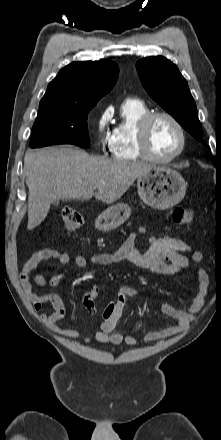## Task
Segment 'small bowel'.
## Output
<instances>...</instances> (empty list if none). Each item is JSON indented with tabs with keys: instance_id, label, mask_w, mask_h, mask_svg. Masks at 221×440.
<instances>
[{
	"instance_id": "1",
	"label": "small bowel",
	"mask_w": 221,
	"mask_h": 440,
	"mask_svg": "<svg viewBox=\"0 0 221 440\" xmlns=\"http://www.w3.org/2000/svg\"><path fill=\"white\" fill-rule=\"evenodd\" d=\"M145 233L144 228L139 229ZM191 253L190 257L187 256ZM46 260H55L62 265L72 262V257L65 253L50 248H40L35 250L26 260L20 271V280L23 291L32 303L35 311L39 312L42 320L53 331L59 332L69 338H82L85 342L89 337H83L80 330L76 328L62 327L59 322L65 318L66 308L63 299L57 293L50 292L37 294L33 291V284L40 287H54L64 278L63 274L58 273L52 277H45L41 273H34L39 263ZM122 261H129L136 267L151 270L157 274L175 276L181 274L189 268L191 262L199 263L202 261V254L192 252L190 247L182 240L169 236H152L149 238V248L141 252L137 246V234L131 232L123 245L114 253L94 254L90 257L82 255L74 258V263L79 269H85L89 264L108 266ZM52 268L46 267L42 272H49ZM198 279V288L187 311L178 310L167 303H161L160 311L176 321V325L158 332H147L143 339L145 342H153L176 335L185 330L193 316L201 310L207 293L209 279L205 270L199 268L195 271ZM88 292L83 293L82 302ZM142 294L139 290L130 286H121L117 291L116 310L112 318H103L99 329L93 338L100 343H112L119 345L125 343L129 346L137 344V339L133 334L122 335L114 332V329L122 314L129 308V298ZM50 304L53 312L47 313L43 310L44 304Z\"/></svg>"
}]
</instances>
